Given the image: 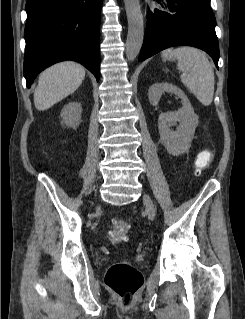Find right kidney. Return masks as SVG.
<instances>
[{
	"label": "right kidney",
	"mask_w": 245,
	"mask_h": 319,
	"mask_svg": "<svg viewBox=\"0 0 245 319\" xmlns=\"http://www.w3.org/2000/svg\"><path fill=\"white\" fill-rule=\"evenodd\" d=\"M82 108L78 102H70L61 110L62 123L68 127L77 128L81 122Z\"/></svg>",
	"instance_id": "right-kidney-1"
}]
</instances>
